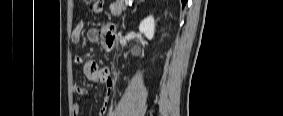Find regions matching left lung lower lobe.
<instances>
[{
    "instance_id": "obj_1",
    "label": "left lung lower lobe",
    "mask_w": 283,
    "mask_h": 116,
    "mask_svg": "<svg viewBox=\"0 0 283 116\" xmlns=\"http://www.w3.org/2000/svg\"><path fill=\"white\" fill-rule=\"evenodd\" d=\"M181 1H182V6L184 7L186 2H187V0H181Z\"/></svg>"
}]
</instances>
